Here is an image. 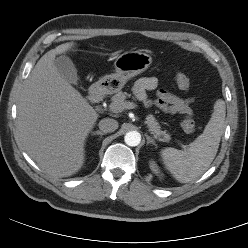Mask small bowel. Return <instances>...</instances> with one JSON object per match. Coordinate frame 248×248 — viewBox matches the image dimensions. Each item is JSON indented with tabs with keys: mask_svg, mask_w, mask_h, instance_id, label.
Returning <instances> with one entry per match:
<instances>
[{
	"mask_svg": "<svg viewBox=\"0 0 248 248\" xmlns=\"http://www.w3.org/2000/svg\"><path fill=\"white\" fill-rule=\"evenodd\" d=\"M157 86V78L145 76L137 80L133 87V92L146 106L155 105L164 113L181 115H190L192 113L191 99L181 98L162 89L157 91L155 100H150L147 97V93L156 90Z\"/></svg>",
	"mask_w": 248,
	"mask_h": 248,
	"instance_id": "c3829d8e",
	"label": "small bowel"
}]
</instances>
